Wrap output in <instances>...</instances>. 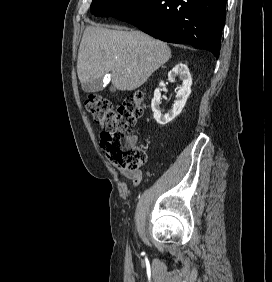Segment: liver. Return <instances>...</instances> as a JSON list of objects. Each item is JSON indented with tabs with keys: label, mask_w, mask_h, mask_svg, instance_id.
<instances>
[{
	"label": "liver",
	"mask_w": 272,
	"mask_h": 282,
	"mask_svg": "<svg viewBox=\"0 0 272 282\" xmlns=\"http://www.w3.org/2000/svg\"><path fill=\"white\" fill-rule=\"evenodd\" d=\"M170 58L171 49L166 43L140 31L87 26L79 47L77 74L83 85L111 73L115 88L131 91Z\"/></svg>",
	"instance_id": "liver-1"
}]
</instances>
